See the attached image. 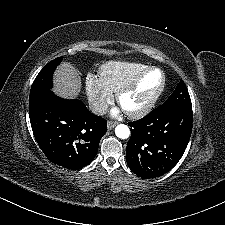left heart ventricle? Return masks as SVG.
<instances>
[{
    "label": "left heart ventricle",
    "mask_w": 225,
    "mask_h": 225,
    "mask_svg": "<svg viewBox=\"0 0 225 225\" xmlns=\"http://www.w3.org/2000/svg\"><path fill=\"white\" fill-rule=\"evenodd\" d=\"M160 82L161 76L158 72L148 73L139 88L123 98L121 102L122 109L132 112L142 108L159 88Z\"/></svg>",
    "instance_id": "left-heart-ventricle-1"
}]
</instances>
